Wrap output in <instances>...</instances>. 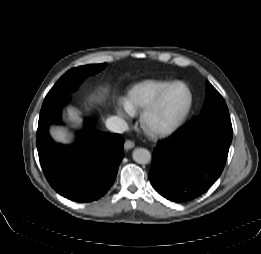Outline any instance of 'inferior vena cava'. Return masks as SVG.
Listing matches in <instances>:
<instances>
[{
  "label": "inferior vena cava",
  "mask_w": 261,
  "mask_h": 254,
  "mask_svg": "<svg viewBox=\"0 0 261 254\" xmlns=\"http://www.w3.org/2000/svg\"><path fill=\"white\" fill-rule=\"evenodd\" d=\"M105 124L109 130L115 133H124L128 130L126 121L118 116L109 117Z\"/></svg>",
  "instance_id": "1"
}]
</instances>
